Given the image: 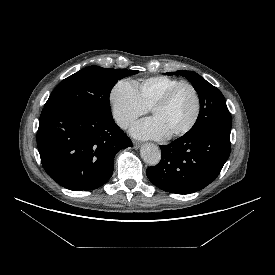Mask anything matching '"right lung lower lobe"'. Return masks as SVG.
Here are the masks:
<instances>
[{"mask_svg": "<svg viewBox=\"0 0 275 275\" xmlns=\"http://www.w3.org/2000/svg\"><path fill=\"white\" fill-rule=\"evenodd\" d=\"M37 146L46 173L64 188L81 191L104 185L116 153L132 142L112 117L65 106L42 110Z\"/></svg>", "mask_w": 275, "mask_h": 275, "instance_id": "98d812e1", "label": "right lung lower lobe"}]
</instances>
